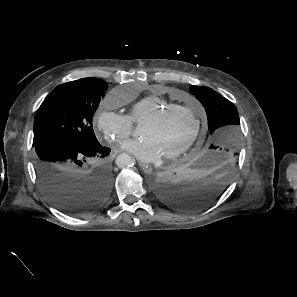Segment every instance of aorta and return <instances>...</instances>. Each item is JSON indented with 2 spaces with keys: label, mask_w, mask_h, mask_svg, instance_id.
<instances>
[{
  "label": "aorta",
  "mask_w": 297,
  "mask_h": 297,
  "mask_svg": "<svg viewBox=\"0 0 297 297\" xmlns=\"http://www.w3.org/2000/svg\"><path fill=\"white\" fill-rule=\"evenodd\" d=\"M116 164L118 167L125 168L133 165V160L127 154H120L116 159Z\"/></svg>",
  "instance_id": "762f6f07"
}]
</instances>
